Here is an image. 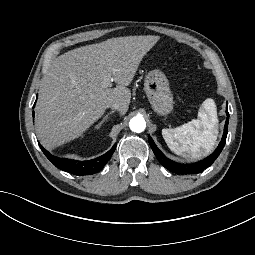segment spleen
Returning <instances> with one entry per match:
<instances>
[{"instance_id": "1", "label": "spleen", "mask_w": 255, "mask_h": 255, "mask_svg": "<svg viewBox=\"0 0 255 255\" xmlns=\"http://www.w3.org/2000/svg\"><path fill=\"white\" fill-rule=\"evenodd\" d=\"M199 114L201 117L198 120L162 130L166 144L176 154H188L197 158L210 152L217 136V115L214 102L211 99L204 101Z\"/></svg>"}]
</instances>
